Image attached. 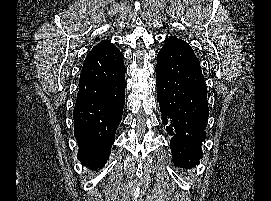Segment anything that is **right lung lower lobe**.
<instances>
[{"instance_id":"1","label":"right lung lower lobe","mask_w":271,"mask_h":201,"mask_svg":"<svg viewBox=\"0 0 271 201\" xmlns=\"http://www.w3.org/2000/svg\"><path fill=\"white\" fill-rule=\"evenodd\" d=\"M125 103L123 54L110 41H102L87 55L73 111L78 159L89 168L107 162Z\"/></svg>"}]
</instances>
